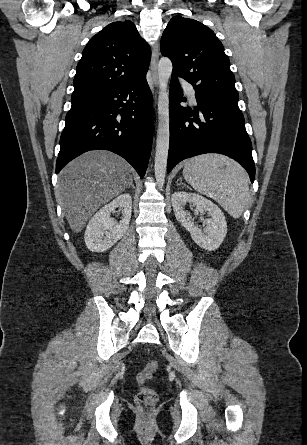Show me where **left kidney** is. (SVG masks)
<instances>
[{"instance_id":"1","label":"left kidney","mask_w":307,"mask_h":445,"mask_svg":"<svg viewBox=\"0 0 307 445\" xmlns=\"http://www.w3.org/2000/svg\"><path fill=\"white\" fill-rule=\"evenodd\" d=\"M171 200L177 220H180L181 225L185 227L186 231H189L194 243L199 245L201 249H205V251H216V249H219L227 233L225 216L219 206L208 200V198H204L201 194H195V192H174ZM186 202L193 204L198 212L207 210L208 214H210L211 218L207 220V223H210V225L205 227L204 231H201L190 220V212L184 208Z\"/></svg>"}]
</instances>
